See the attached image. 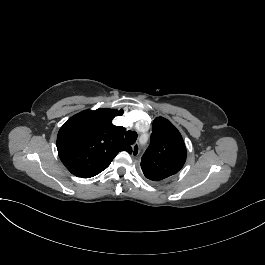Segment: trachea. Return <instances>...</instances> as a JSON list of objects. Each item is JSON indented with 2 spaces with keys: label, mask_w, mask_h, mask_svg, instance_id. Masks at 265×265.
Instances as JSON below:
<instances>
[{
  "label": "trachea",
  "mask_w": 265,
  "mask_h": 265,
  "mask_svg": "<svg viewBox=\"0 0 265 265\" xmlns=\"http://www.w3.org/2000/svg\"><path fill=\"white\" fill-rule=\"evenodd\" d=\"M125 137H126V141L129 144H133V143H135V141L137 139V133L134 131H128V132H126Z\"/></svg>",
  "instance_id": "obj_1"
}]
</instances>
